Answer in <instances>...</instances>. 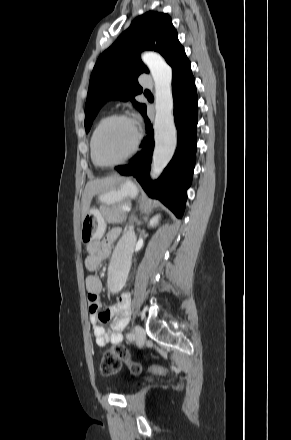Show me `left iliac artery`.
I'll return each mask as SVG.
<instances>
[{"label": "left iliac artery", "mask_w": 291, "mask_h": 440, "mask_svg": "<svg viewBox=\"0 0 291 440\" xmlns=\"http://www.w3.org/2000/svg\"><path fill=\"white\" fill-rule=\"evenodd\" d=\"M126 337H127L128 340H134L135 339V336H134L133 333H127Z\"/></svg>", "instance_id": "44dca946"}]
</instances>
